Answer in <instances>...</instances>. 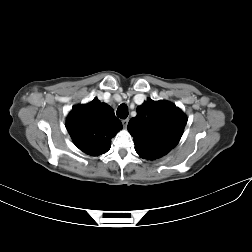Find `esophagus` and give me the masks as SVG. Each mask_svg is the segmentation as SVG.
Returning a JSON list of instances; mask_svg holds the SVG:
<instances>
[{
  "instance_id": "esophagus-1",
  "label": "esophagus",
  "mask_w": 252,
  "mask_h": 252,
  "mask_svg": "<svg viewBox=\"0 0 252 252\" xmlns=\"http://www.w3.org/2000/svg\"><path fill=\"white\" fill-rule=\"evenodd\" d=\"M128 121H129V119H128V118H127V119L122 120V124H123V126H124L125 128L127 127Z\"/></svg>"
}]
</instances>
